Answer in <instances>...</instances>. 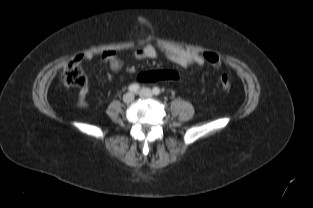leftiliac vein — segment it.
<instances>
[{
  "mask_svg": "<svg viewBox=\"0 0 313 208\" xmlns=\"http://www.w3.org/2000/svg\"><path fill=\"white\" fill-rule=\"evenodd\" d=\"M138 94L143 97V98H152L153 97V92L148 89V88H143L141 89Z\"/></svg>",
  "mask_w": 313,
  "mask_h": 208,
  "instance_id": "1",
  "label": "left iliac vein"
}]
</instances>
